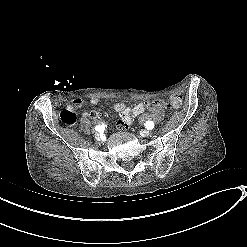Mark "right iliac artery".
Returning a JSON list of instances; mask_svg holds the SVG:
<instances>
[{"instance_id":"obj_1","label":"right iliac artery","mask_w":247,"mask_h":247,"mask_svg":"<svg viewBox=\"0 0 247 247\" xmlns=\"http://www.w3.org/2000/svg\"><path fill=\"white\" fill-rule=\"evenodd\" d=\"M105 127L106 125L102 124V125L96 126L95 130L98 132H103L105 130Z\"/></svg>"}]
</instances>
